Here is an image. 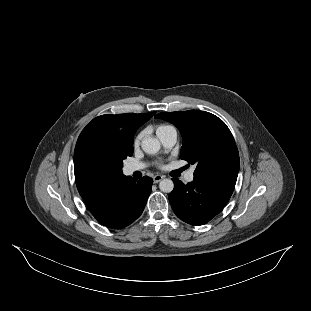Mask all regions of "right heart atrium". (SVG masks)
I'll use <instances>...</instances> for the list:
<instances>
[{
	"mask_svg": "<svg viewBox=\"0 0 311 311\" xmlns=\"http://www.w3.org/2000/svg\"><path fill=\"white\" fill-rule=\"evenodd\" d=\"M143 132L138 133L134 139H133V147H137L140 143V140L142 138Z\"/></svg>",
	"mask_w": 311,
	"mask_h": 311,
	"instance_id": "d8ad5b80",
	"label": "right heart atrium"
}]
</instances>
